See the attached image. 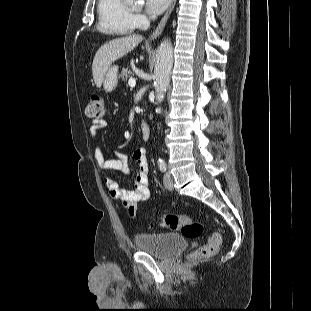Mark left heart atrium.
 I'll list each match as a JSON object with an SVG mask.
<instances>
[{"mask_svg": "<svg viewBox=\"0 0 311 311\" xmlns=\"http://www.w3.org/2000/svg\"><path fill=\"white\" fill-rule=\"evenodd\" d=\"M171 0H146V10L147 12L154 16L163 12Z\"/></svg>", "mask_w": 311, "mask_h": 311, "instance_id": "obj_1", "label": "left heart atrium"}]
</instances>
